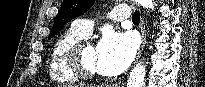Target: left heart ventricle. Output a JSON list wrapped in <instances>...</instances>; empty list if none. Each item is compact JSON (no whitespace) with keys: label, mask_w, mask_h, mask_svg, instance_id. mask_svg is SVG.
I'll list each match as a JSON object with an SVG mask.
<instances>
[{"label":"left heart ventricle","mask_w":205,"mask_h":87,"mask_svg":"<svg viewBox=\"0 0 205 87\" xmlns=\"http://www.w3.org/2000/svg\"><path fill=\"white\" fill-rule=\"evenodd\" d=\"M83 67L87 71L97 72L96 69V47L93 45L86 46L81 54Z\"/></svg>","instance_id":"left-heart-ventricle-1"}]
</instances>
